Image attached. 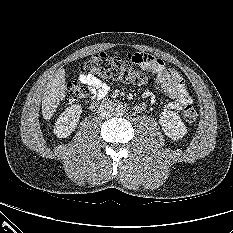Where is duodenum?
<instances>
[{
	"instance_id": "410a0bca",
	"label": "duodenum",
	"mask_w": 233,
	"mask_h": 233,
	"mask_svg": "<svg viewBox=\"0 0 233 233\" xmlns=\"http://www.w3.org/2000/svg\"><path fill=\"white\" fill-rule=\"evenodd\" d=\"M121 102L113 97H108L102 100L101 102L94 104L92 107L98 109L104 106L119 105Z\"/></svg>"
}]
</instances>
